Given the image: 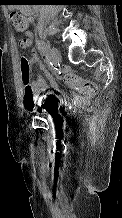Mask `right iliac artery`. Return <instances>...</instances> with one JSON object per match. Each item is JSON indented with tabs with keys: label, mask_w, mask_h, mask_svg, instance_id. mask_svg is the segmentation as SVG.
Returning <instances> with one entry per match:
<instances>
[{
	"label": "right iliac artery",
	"mask_w": 122,
	"mask_h": 218,
	"mask_svg": "<svg viewBox=\"0 0 122 218\" xmlns=\"http://www.w3.org/2000/svg\"><path fill=\"white\" fill-rule=\"evenodd\" d=\"M37 45H38V48L41 51L43 57L45 58L46 63L51 65V66H54L55 63L51 60V51L45 45V43L43 41L38 40Z\"/></svg>",
	"instance_id": "obj_1"
}]
</instances>
